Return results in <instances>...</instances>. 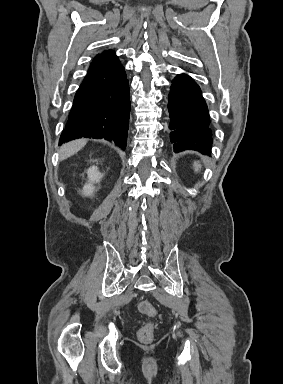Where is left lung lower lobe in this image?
I'll list each match as a JSON object with an SVG mask.
<instances>
[{
    "mask_svg": "<svg viewBox=\"0 0 283 384\" xmlns=\"http://www.w3.org/2000/svg\"><path fill=\"white\" fill-rule=\"evenodd\" d=\"M170 141L175 152L195 150L210 155L212 131L200 87L186 74L177 75L168 94Z\"/></svg>",
    "mask_w": 283,
    "mask_h": 384,
    "instance_id": "1",
    "label": "left lung lower lobe"
}]
</instances>
